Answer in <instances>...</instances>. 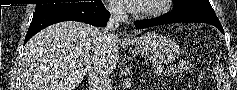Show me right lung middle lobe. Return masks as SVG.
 Returning <instances> with one entry per match:
<instances>
[{
	"label": "right lung middle lobe",
	"mask_w": 237,
	"mask_h": 90,
	"mask_svg": "<svg viewBox=\"0 0 237 90\" xmlns=\"http://www.w3.org/2000/svg\"><path fill=\"white\" fill-rule=\"evenodd\" d=\"M72 4H86V3H59V4H37L35 12H42L49 9L66 6V5H72Z\"/></svg>",
	"instance_id": "dd1d6c3e"
}]
</instances>
